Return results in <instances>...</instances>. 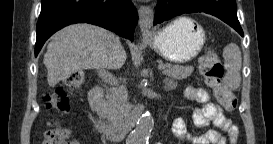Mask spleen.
<instances>
[{
    "label": "spleen",
    "instance_id": "spleen-1",
    "mask_svg": "<svg viewBox=\"0 0 273 144\" xmlns=\"http://www.w3.org/2000/svg\"><path fill=\"white\" fill-rule=\"evenodd\" d=\"M223 58L224 67L227 70L224 83L229 89L236 90L241 83L240 69L242 58L239 47L235 43L228 44L223 49Z\"/></svg>",
    "mask_w": 273,
    "mask_h": 144
}]
</instances>
